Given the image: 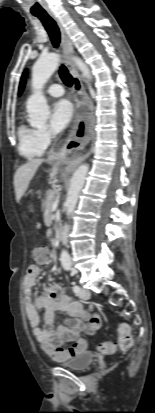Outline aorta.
I'll list each match as a JSON object with an SVG mask.
<instances>
[{"label": "aorta", "mask_w": 155, "mask_h": 413, "mask_svg": "<svg viewBox=\"0 0 155 413\" xmlns=\"http://www.w3.org/2000/svg\"><path fill=\"white\" fill-rule=\"evenodd\" d=\"M76 66L81 70L83 76L91 79L88 66L78 57L73 58ZM60 56L56 53L41 56L32 68V88L33 94L28 98L26 108L29 116V122L34 127L43 126L49 115V107L42 93V89L51 75L59 65ZM89 170L88 164L80 165L73 173L70 187L67 192L65 201L66 215L69 217L77 204L79 193L82 190L85 179ZM60 261L64 269L71 268V258L66 250H62Z\"/></svg>", "instance_id": "762f6f07"}]
</instances>
